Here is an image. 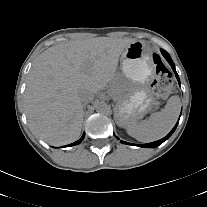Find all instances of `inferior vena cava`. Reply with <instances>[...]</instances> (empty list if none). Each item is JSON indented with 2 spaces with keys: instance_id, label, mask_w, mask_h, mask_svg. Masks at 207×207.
I'll list each match as a JSON object with an SVG mask.
<instances>
[{
  "instance_id": "obj_1",
  "label": "inferior vena cava",
  "mask_w": 207,
  "mask_h": 207,
  "mask_svg": "<svg viewBox=\"0 0 207 207\" xmlns=\"http://www.w3.org/2000/svg\"><path fill=\"white\" fill-rule=\"evenodd\" d=\"M81 101L84 103H90L94 100L95 94L88 90H83L80 94Z\"/></svg>"
}]
</instances>
